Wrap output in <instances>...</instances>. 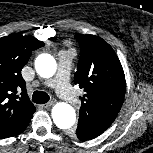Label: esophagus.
<instances>
[{"mask_svg": "<svg viewBox=\"0 0 153 153\" xmlns=\"http://www.w3.org/2000/svg\"><path fill=\"white\" fill-rule=\"evenodd\" d=\"M55 102H56V100L53 99V100H51L50 102L43 104V107L49 108V107H51Z\"/></svg>", "mask_w": 153, "mask_h": 153, "instance_id": "34e87169", "label": "esophagus"}]
</instances>
